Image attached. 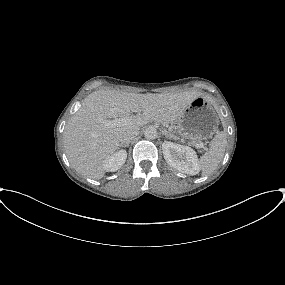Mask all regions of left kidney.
Returning a JSON list of instances; mask_svg holds the SVG:
<instances>
[{
    "instance_id": "1",
    "label": "left kidney",
    "mask_w": 285,
    "mask_h": 285,
    "mask_svg": "<svg viewBox=\"0 0 285 285\" xmlns=\"http://www.w3.org/2000/svg\"><path fill=\"white\" fill-rule=\"evenodd\" d=\"M162 150L166 162L174 169L188 175L199 173V160L191 147L164 141Z\"/></svg>"
}]
</instances>
